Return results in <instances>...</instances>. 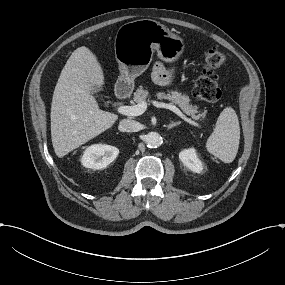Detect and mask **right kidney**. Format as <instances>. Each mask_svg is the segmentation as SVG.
<instances>
[{"instance_id": "obj_1", "label": "right kidney", "mask_w": 285, "mask_h": 285, "mask_svg": "<svg viewBox=\"0 0 285 285\" xmlns=\"http://www.w3.org/2000/svg\"><path fill=\"white\" fill-rule=\"evenodd\" d=\"M119 154L116 147L108 145H94L89 147L81 159L82 165L91 169H102L112 163Z\"/></svg>"}]
</instances>
